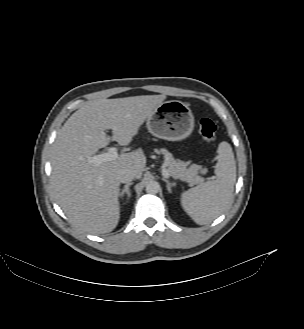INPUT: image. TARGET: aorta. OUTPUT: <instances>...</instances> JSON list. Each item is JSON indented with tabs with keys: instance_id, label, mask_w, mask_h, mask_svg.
<instances>
[{
	"instance_id": "obj_1",
	"label": "aorta",
	"mask_w": 304,
	"mask_h": 329,
	"mask_svg": "<svg viewBox=\"0 0 304 329\" xmlns=\"http://www.w3.org/2000/svg\"><path fill=\"white\" fill-rule=\"evenodd\" d=\"M159 188L160 186L156 181H150L146 184V192L149 194H156Z\"/></svg>"
}]
</instances>
